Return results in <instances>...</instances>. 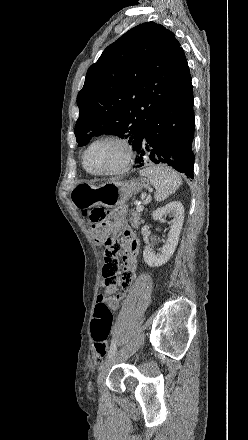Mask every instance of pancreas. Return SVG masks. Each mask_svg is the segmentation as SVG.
Listing matches in <instances>:
<instances>
[{"mask_svg":"<svg viewBox=\"0 0 248 440\" xmlns=\"http://www.w3.org/2000/svg\"><path fill=\"white\" fill-rule=\"evenodd\" d=\"M141 220V213L136 209V211H133L131 214L130 222L132 227L138 228L140 225Z\"/></svg>","mask_w":248,"mask_h":440,"instance_id":"cf45deb5","label":"pancreas"}]
</instances>
